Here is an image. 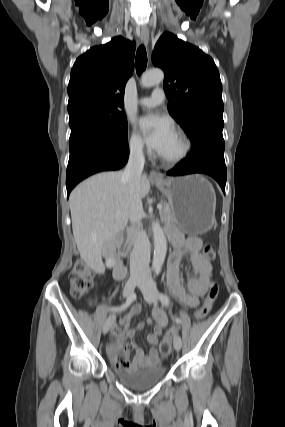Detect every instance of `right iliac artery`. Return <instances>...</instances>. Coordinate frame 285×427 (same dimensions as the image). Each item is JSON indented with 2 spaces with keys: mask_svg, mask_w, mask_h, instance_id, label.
<instances>
[{
  "mask_svg": "<svg viewBox=\"0 0 285 427\" xmlns=\"http://www.w3.org/2000/svg\"><path fill=\"white\" fill-rule=\"evenodd\" d=\"M135 299V294L132 293L126 300V302L118 308H113L112 310H123L126 309L128 306H130V304L133 302V300Z\"/></svg>",
  "mask_w": 285,
  "mask_h": 427,
  "instance_id": "1",
  "label": "right iliac artery"
}]
</instances>
